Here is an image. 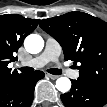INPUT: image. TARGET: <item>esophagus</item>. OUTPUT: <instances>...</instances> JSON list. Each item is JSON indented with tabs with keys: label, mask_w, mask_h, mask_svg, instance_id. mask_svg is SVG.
<instances>
[{
	"label": "esophagus",
	"mask_w": 107,
	"mask_h": 107,
	"mask_svg": "<svg viewBox=\"0 0 107 107\" xmlns=\"http://www.w3.org/2000/svg\"><path fill=\"white\" fill-rule=\"evenodd\" d=\"M47 76L50 77L51 79H56L57 78V76L51 75V74H47Z\"/></svg>",
	"instance_id": "34e87169"
}]
</instances>
